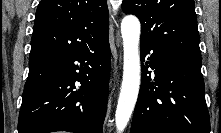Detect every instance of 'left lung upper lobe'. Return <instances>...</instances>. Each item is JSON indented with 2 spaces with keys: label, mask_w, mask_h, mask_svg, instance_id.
<instances>
[{
  "label": "left lung upper lobe",
  "mask_w": 221,
  "mask_h": 133,
  "mask_svg": "<svg viewBox=\"0 0 221 133\" xmlns=\"http://www.w3.org/2000/svg\"><path fill=\"white\" fill-rule=\"evenodd\" d=\"M122 10L139 18L141 40L201 55L193 0H123Z\"/></svg>",
  "instance_id": "obj_1"
}]
</instances>
